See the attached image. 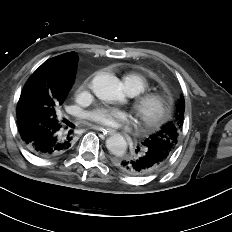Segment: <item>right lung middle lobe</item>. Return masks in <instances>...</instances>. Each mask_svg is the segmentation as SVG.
<instances>
[{"instance_id": "dd1d6c3e", "label": "right lung middle lobe", "mask_w": 232, "mask_h": 232, "mask_svg": "<svg viewBox=\"0 0 232 232\" xmlns=\"http://www.w3.org/2000/svg\"><path fill=\"white\" fill-rule=\"evenodd\" d=\"M70 82L40 72L26 82L17 105V122L28 132L39 125L52 129L61 125L59 110L63 104ZM64 122V121H63Z\"/></svg>"}]
</instances>
